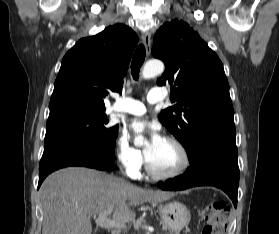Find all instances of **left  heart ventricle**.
Instances as JSON below:
<instances>
[{"label":"left heart ventricle","mask_w":279,"mask_h":234,"mask_svg":"<svg viewBox=\"0 0 279 234\" xmlns=\"http://www.w3.org/2000/svg\"><path fill=\"white\" fill-rule=\"evenodd\" d=\"M146 153L152 168L159 173H170L174 171L181 162L178 149L170 142L162 140L156 147L149 149Z\"/></svg>","instance_id":"1"}]
</instances>
